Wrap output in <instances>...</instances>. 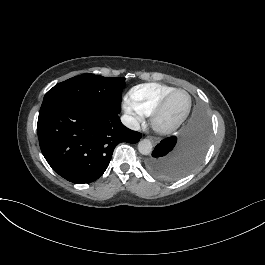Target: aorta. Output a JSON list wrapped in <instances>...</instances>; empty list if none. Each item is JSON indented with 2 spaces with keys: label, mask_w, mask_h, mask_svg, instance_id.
I'll list each match as a JSON object with an SVG mask.
<instances>
[{
  "label": "aorta",
  "mask_w": 265,
  "mask_h": 265,
  "mask_svg": "<svg viewBox=\"0 0 265 265\" xmlns=\"http://www.w3.org/2000/svg\"><path fill=\"white\" fill-rule=\"evenodd\" d=\"M138 150L143 155H148L152 151V143L148 139H143L138 143Z\"/></svg>",
  "instance_id": "1"
}]
</instances>
